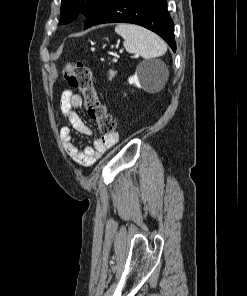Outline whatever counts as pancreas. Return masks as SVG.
I'll return each mask as SVG.
<instances>
[{
    "label": "pancreas",
    "instance_id": "1",
    "mask_svg": "<svg viewBox=\"0 0 247 296\" xmlns=\"http://www.w3.org/2000/svg\"><path fill=\"white\" fill-rule=\"evenodd\" d=\"M117 72L116 71H113V70H109V79H112L114 76H115V74H116Z\"/></svg>",
    "mask_w": 247,
    "mask_h": 296
}]
</instances>
